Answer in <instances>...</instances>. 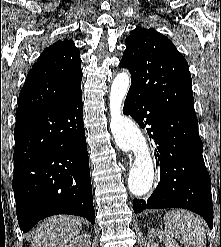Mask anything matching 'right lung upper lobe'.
Here are the masks:
<instances>
[{"instance_id": "cb5924a9", "label": "right lung upper lobe", "mask_w": 221, "mask_h": 247, "mask_svg": "<svg viewBox=\"0 0 221 247\" xmlns=\"http://www.w3.org/2000/svg\"><path fill=\"white\" fill-rule=\"evenodd\" d=\"M80 52L72 40L47 47L29 71L16 115L59 104L81 93Z\"/></svg>"}]
</instances>
